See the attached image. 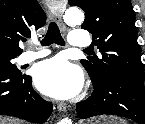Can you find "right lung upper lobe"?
Listing matches in <instances>:
<instances>
[{"label":"right lung upper lobe","instance_id":"cb5924a9","mask_svg":"<svg viewBox=\"0 0 145 124\" xmlns=\"http://www.w3.org/2000/svg\"><path fill=\"white\" fill-rule=\"evenodd\" d=\"M45 22V12L37 0H0V51L20 55V39L29 37Z\"/></svg>","mask_w":145,"mask_h":124}]
</instances>
